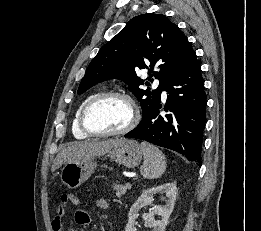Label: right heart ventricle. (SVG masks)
Returning <instances> with one entry per match:
<instances>
[{
    "instance_id": "e07e8e85",
    "label": "right heart ventricle",
    "mask_w": 261,
    "mask_h": 231,
    "mask_svg": "<svg viewBox=\"0 0 261 231\" xmlns=\"http://www.w3.org/2000/svg\"><path fill=\"white\" fill-rule=\"evenodd\" d=\"M99 93H93L88 95L86 98H84L82 100V102L79 104V106L77 107L73 118H72V124H71V131L72 134L74 135V137L76 139H87L90 136L87 135L86 133H84L81 128H80V124H79V116H80V112L83 108V106L89 101L91 100L93 97H95L96 95H98Z\"/></svg>"
}]
</instances>
